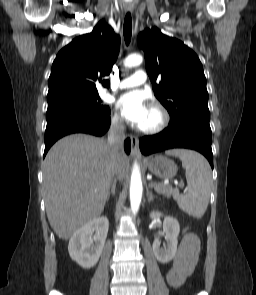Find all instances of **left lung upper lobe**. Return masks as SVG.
<instances>
[{"instance_id":"1","label":"left lung upper lobe","mask_w":256,"mask_h":295,"mask_svg":"<svg viewBox=\"0 0 256 295\" xmlns=\"http://www.w3.org/2000/svg\"><path fill=\"white\" fill-rule=\"evenodd\" d=\"M138 45L145 53L155 96L170 114V124L184 118L209 121L206 78L198 56L156 27L141 32Z\"/></svg>"}]
</instances>
